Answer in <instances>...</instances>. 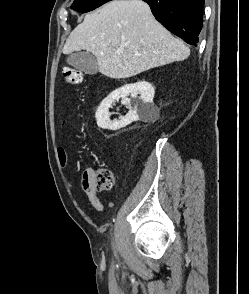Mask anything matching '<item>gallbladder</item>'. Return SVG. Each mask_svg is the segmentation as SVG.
<instances>
[{"label":"gallbladder","mask_w":249,"mask_h":294,"mask_svg":"<svg viewBox=\"0 0 249 294\" xmlns=\"http://www.w3.org/2000/svg\"><path fill=\"white\" fill-rule=\"evenodd\" d=\"M67 64L88 75L98 72V63L95 56L87 51H78L68 55Z\"/></svg>","instance_id":"gallbladder-1"}]
</instances>
